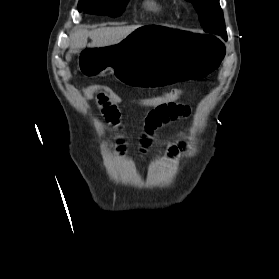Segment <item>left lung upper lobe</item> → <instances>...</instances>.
<instances>
[{
  "label": "left lung upper lobe",
  "instance_id": "obj_1",
  "mask_svg": "<svg viewBox=\"0 0 279 279\" xmlns=\"http://www.w3.org/2000/svg\"><path fill=\"white\" fill-rule=\"evenodd\" d=\"M193 3L204 31L226 37L225 22L219 0H186Z\"/></svg>",
  "mask_w": 279,
  "mask_h": 279
}]
</instances>
